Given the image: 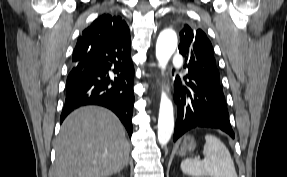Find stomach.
<instances>
[{"label":"stomach","instance_id":"stomach-1","mask_svg":"<svg viewBox=\"0 0 287 177\" xmlns=\"http://www.w3.org/2000/svg\"><path fill=\"white\" fill-rule=\"evenodd\" d=\"M195 147H196V141H195L194 137L191 135H186L183 138V141L180 145V148H179L177 154L179 156H186L189 153H191L192 151H194Z\"/></svg>","mask_w":287,"mask_h":177}]
</instances>
